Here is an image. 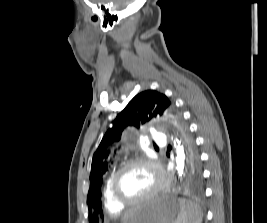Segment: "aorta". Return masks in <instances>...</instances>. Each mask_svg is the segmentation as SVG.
Masks as SVG:
<instances>
[{
    "mask_svg": "<svg viewBox=\"0 0 267 223\" xmlns=\"http://www.w3.org/2000/svg\"><path fill=\"white\" fill-rule=\"evenodd\" d=\"M174 146L176 148V170L178 177L180 178L182 177L186 166V156L184 153L183 146L181 145V142L179 140H174Z\"/></svg>",
    "mask_w": 267,
    "mask_h": 223,
    "instance_id": "1",
    "label": "aorta"
}]
</instances>
